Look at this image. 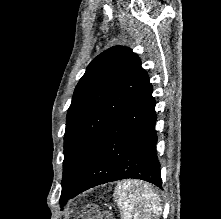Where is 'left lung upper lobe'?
Segmentation results:
<instances>
[{
  "mask_svg": "<svg viewBox=\"0 0 221 219\" xmlns=\"http://www.w3.org/2000/svg\"><path fill=\"white\" fill-rule=\"evenodd\" d=\"M148 83L140 59L127 47H112L88 65L67 113L61 205L107 129Z\"/></svg>",
  "mask_w": 221,
  "mask_h": 219,
  "instance_id": "1",
  "label": "left lung upper lobe"
}]
</instances>
